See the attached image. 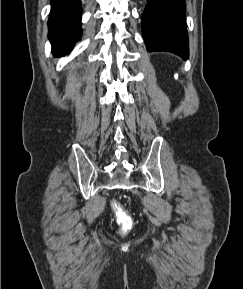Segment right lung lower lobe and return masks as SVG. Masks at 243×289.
Listing matches in <instances>:
<instances>
[{
	"instance_id": "obj_1",
	"label": "right lung lower lobe",
	"mask_w": 243,
	"mask_h": 289,
	"mask_svg": "<svg viewBox=\"0 0 243 289\" xmlns=\"http://www.w3.org/2000/svg\"><path fill=\"white\" fill-rule=\"evenodd\" d=\"M52 9L48 21L49 38L54 56L71 52L74 42L81 36L80 0H51Z\"/></svg>"
}]
</instances>
